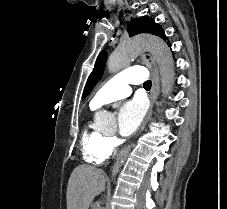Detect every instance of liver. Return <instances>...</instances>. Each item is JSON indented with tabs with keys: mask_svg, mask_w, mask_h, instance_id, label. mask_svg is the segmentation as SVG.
Instances as JSON below:
<instances>
[{
	"mask_svg": "<svg viewBox=\"0 0 227 209\" xmlns=\"http://www.w3.org/2000/svg\"><path fill=\"white\" fill-rule=\"evenodd\" d=\"M99 177L100 173H97V169L94 167H89V165L76 167L67 187V209H88L98 191L96 181ZM88 195L91 197L90 201L86 203Z\"/></svg>",
	"mask_w": 227,
	"mask_h": 209,
	"instance_id": "1",
	"label": "liver"
}]
</instances>
